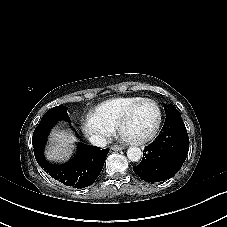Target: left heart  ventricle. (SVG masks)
Listing matches in <instances>:
<instances>
[{
	"instance_id": "left-heart-ventricle-1",
	"label": "left heart ventricle",
	"mask_w": 227,
	"mask_h": 227,
	"mask_svg": "<svg viewBox=\"0 0 227 227\" xmlns=\"http://www.w3.org/2000/svg\"><path fill=\"white\" fill-rule=\"evenodd\" d=\"M157 121V111L153 105L145 104L139 107L130 117L124 127L125 135L143 137L150 134Z\"/></svg>"
}]
</instances>
